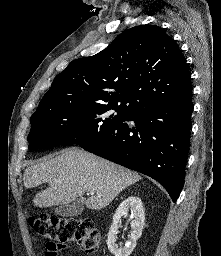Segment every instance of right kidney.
<instances>
[{"instance_id": "obj_1", "label": "right kidney", "mask_w": 221, "mask_h": 256, "mask_svg": "<svg viewBox=\"0 0 221 256\" xmlns=\"http://www.w3.org/2000/svg\"><path fill=\"white\" fill-rule=\"evenodd\" d=\"M131 211V234L129 240L125 243L124 247H118L116 237L118 233V223L121 217ZM145 221V213L142 201L139 197L130 196L125 199L116 210L113 216V223L110 227L107 239L108 249L115 256H129L136 247V241L141 237Z\"/></svg>"}]
</instances>
